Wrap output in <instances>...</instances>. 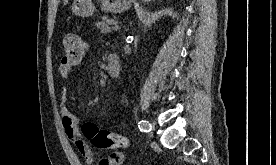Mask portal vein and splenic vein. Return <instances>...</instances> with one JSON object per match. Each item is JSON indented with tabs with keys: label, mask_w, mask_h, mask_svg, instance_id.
Returning a JSON list of instances; mask_svg holds the SVG:
<instances>
[{
	"label": "portal vein and splenic vein",
	"mask_w": 276,
	"mask_h": 165,
	"mask_svg": "<svg viewBox=\"0 0 276 165\" xmlns=\"http://www.w3.org/2000/svg\"><path fill=\"white\" fill-rule=\"evenodd\" d=\"M113 30H119L120 27L118 26L117 22H114L113 23V27H112Z\"/></svg>",
	"instance_id": "18ae733b"
}]
</instances>
